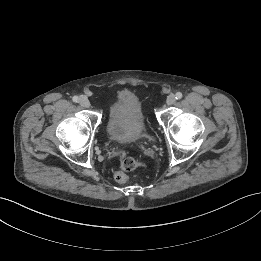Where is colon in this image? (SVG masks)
<instances>
[{"label": "colon", "instance_id": "1", "mask_svg": "<svg viewBox=\"0 0 261 261\" xmlns=\"http://www.w3.org/2000/svg\"><path fill=\"white\" fill-rule=\"evenodd\" d=\"M120 170L114 175L115 180L118 183H125L128 180V173L134 171L135 169L142 167L143 163L135 160L134 158L127 156L125 153H120Z\"/></svg>", "mask_w": 261, "mask_h": 261}]
</instances>
